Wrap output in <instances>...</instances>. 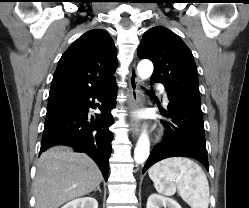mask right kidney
I'll return each instance as SVG.
<instances>
[{"mask_svg":"<svg viewBox=\"0 0 249 208\" xmlns=\"http://www.w3.org/2000/svg\"><path fill=\"white\" fill-rule=\"evenodd\" d=\"M61 208H98V202L95 198L84 197L70 201Z\"/></svg>","mask_w":249,"mask_h":208,"instance_id":"right-kidney-1","label":"right kidney"}]
</instances>
